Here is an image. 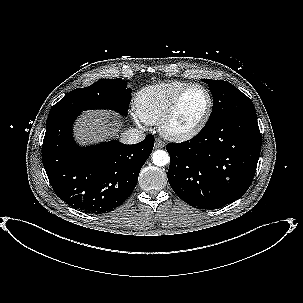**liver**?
<instances>
[{"label": "liver", "mask_w": 303, "mask_h": 303, "mask_svg": "<svg viewBox=\"0 0 303 303\" xmlns=\"http://www.w3.org/2000/svg\"><path fill=\"white\" fill-rule=\"evenodd\" d=\"M112 115L111 117V112L104 110L85 112L76 123V138L81 144H85L102 141L107 136L116 134L118 128L113 127L116 123L111 122L110 119L117 116L116 114Z\"/></svg>", "instance_id": "liver-1"}]
</instances>
